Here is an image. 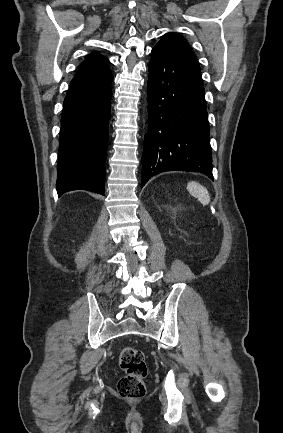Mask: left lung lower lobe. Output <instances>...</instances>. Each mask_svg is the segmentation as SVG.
I'll list each match as a JSON object with an SVG mask.
<instances>
[{
	"label": "left lung lower lobe",
	"mask_w": 283,
	"mask_h": 433,
	"mask_svg": "<svg viewBox=\"0 0 283 433\" xmlns=\"http://www.w3.org/2000/svg\"><path fill=\"white\" fill-rule=\"evenodd\" d=\"M151 53L141 185L173 170L200 172L213 180L199 63L194 54L177 48L155 46Z\"/></svg>",
	"instance_id": "left-lung-lower-lobe-1"
}]
</instances>
